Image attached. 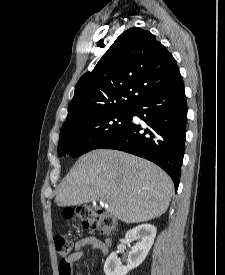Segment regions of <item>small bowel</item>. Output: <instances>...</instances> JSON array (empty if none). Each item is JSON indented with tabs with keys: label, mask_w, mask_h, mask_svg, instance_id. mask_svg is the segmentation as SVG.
I'll use <instances>...</instances> for the list:
<instances>
[{
	"label": "small bowel",
	"mask_w": 225,
	"mask_h": 275,
	"mask_svg": "<svg viewBox=\"0 0 225 275\" xmlns=\"http://www.w3.org/2000/svg\"><path fill=\"white\" fill-rule=\"evenodd\" d=\"M74 248V252L68 257L70 262H78L90 248L101 253L107 252L104 242L94 236H86L79 239L76 241Z\"/></svg>",
	"instance_id": "c3829d8e"
}]
</instances>
